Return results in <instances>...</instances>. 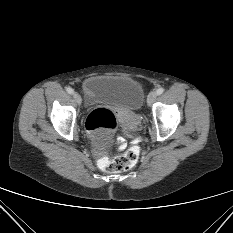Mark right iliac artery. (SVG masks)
<instances>
[{"mask_svg":"<svg viewBox=\"0 0 233 233\" xmlns=\"http://www.w3.org/2000/svg\"><path fill=\"white\" fill-rule=\"evenodd\" d=\"M66 91L69 93V94H73L74 93V90L71 88V87H68L66 89Z\"/></svg>","mask_w":233,"mask_h":233,"instance_id":"82829eb1","label":"right iliac artery"}]
</instances>
